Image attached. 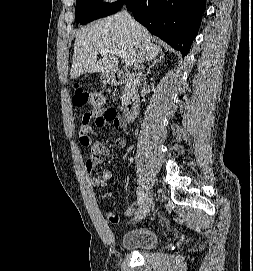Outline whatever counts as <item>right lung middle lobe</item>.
Masks as SVG:
<instances>
[{"label":"right lung middle lobe","instance_id":"dd1d6c3e","mask_svg":"<svg viewBox=\"0 0 253 271\" xmlns=\"http://www.w3.org/2000/svg\"><path fill=\"white\" fill-rule=\"evenodd\" d=\"M127 0L105 3L102 0H76L75 20L86 24L93 20L118 12Z\"/></svg>","mask_w":253,"mask_h":271}]
</instances>
